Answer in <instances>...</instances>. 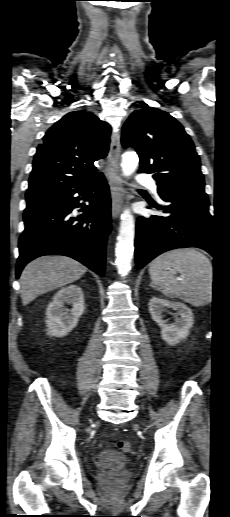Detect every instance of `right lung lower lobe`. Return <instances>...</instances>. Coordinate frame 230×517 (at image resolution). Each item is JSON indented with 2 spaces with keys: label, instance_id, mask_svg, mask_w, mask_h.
<instances>
[{
  "label": "right lung lower lobe",
  "instance_id": "obj_1",
  "mask_svg": "<svg viewBox=\"0 0 230 517\" xmlns=\"http://www.w3.org/2000/svg\"><path fill=\"white\" fill-rule=\"evenodd\" d=\"M81 200L89 205L80 203ZM26 202L17 278L28 262L43 255H65L99 275L104 274L111 199L102 174L75 188L27 198ZM78 207H82L83 213L74 217L72 211Z\"/></svg>",
  "mask_w": 230,
  "mask_h": 517
}]
</instances>
